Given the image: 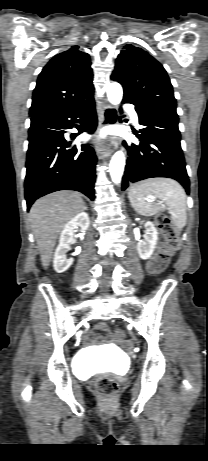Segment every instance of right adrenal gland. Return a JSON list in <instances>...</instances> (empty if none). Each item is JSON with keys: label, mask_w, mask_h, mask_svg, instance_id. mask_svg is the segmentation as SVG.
Listing matches in <instances>:
<instances>
[{"label": "right adrenal gland", "mask_w": 208, "mask_h": 461, "mask_svg": "<svg viewBox=\"0 0 208 461\" xmlns=\"http://www.w3.org/2000/svg\"><path fill=\"white\" fill-rule=\"evenodd\" d=\"M85 210H87V206H85Z\"/></svg>", "instance_id": "2a0ac1e0"}]
</instances>
